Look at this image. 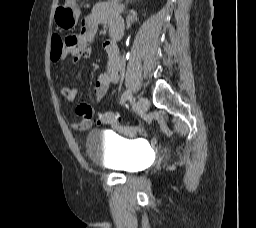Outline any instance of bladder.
Wrapping results in <instances>:
<instances>
[{
  "label": "bladder",
  "instance_id": "bladder-1",
  "mask_svg": "<svg viewBox=\"0 0 256 228\" xmlns=\"http://www.w3.org/2000/svg\"><path fill=\"white\" fill-rule=\"evenodd\" d=\"M89 157L104 167L123 173H137L148 163L145 146L135 142L107 137L99 130H92L86 137Z\"/></svg>",
  "mask_w": 256,
  "mask_h": 228
}]
</instances>
